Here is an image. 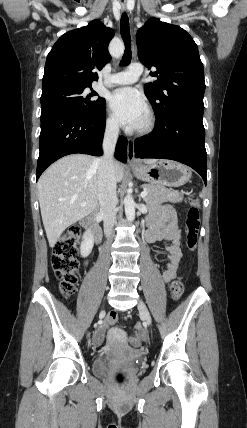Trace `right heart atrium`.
Returning <instances> with one entry per match:
<instances>
[{"instance_id":"right-heart-atrium-1","label":"right heart atrium","mask_w":247,"mask_h":428,"mask_svg":"<svg viewBox=\"0 0 247 428\" xmlns=\"http://www.w3.org/2000/svg\"><path fill=\"white\" fill-rule=\"evenodd\" d=\"M106 129L111 133H116L119 129L118 122L112 115L106 118Z\"/></svg>"}]
</instances>
